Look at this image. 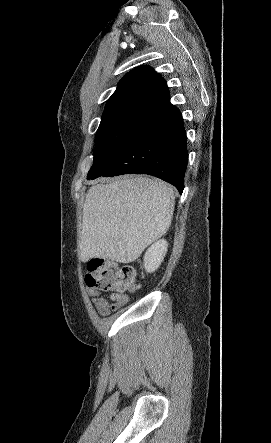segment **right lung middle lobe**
<instances>
[{"mask_svg":"<svg viewBox=\"0 0 271 443\" xmlns=\"http://www.w3.org/2000/svg\"><path fill=\"white\" fill-rule=\"evenodd\" d=\"M153 106L139 101L106 105L96 135L93 165L88 175L96 174L106 166L127 133Z\"/></svg>","mask_w":271,"mask_h":443,"instance_id":"right-lung-middle-lobe-1","label":"right lung middle lobe"}]
</instances>
